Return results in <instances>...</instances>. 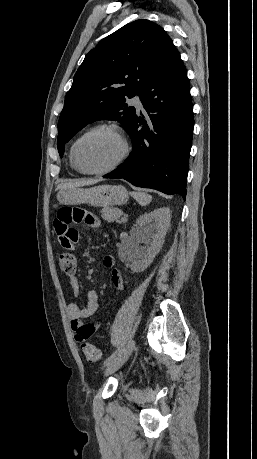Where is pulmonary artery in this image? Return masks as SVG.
Masks as SVG:
<instances>
[{"instance_id": "pulmonary-artery-1", "label": "pulmonary artery", "mask_w": 257, "mask_h": 459, "mask_svg": "<svg viewBox=\"0 0 257 459\" xmlns=\"http://www.w3.org/2000/svg\"><path fill=\"white\" fill-rule=\"evenodd\" d=\"M131 102H132V104H134L136 106V108L143 109V104H142L141 98L138 95L133 97Z\"/></svg>"}]
</instances>
